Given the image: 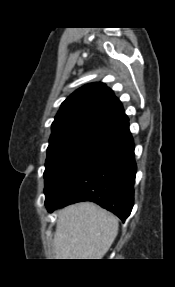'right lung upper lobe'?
I'll return each mask as SVG.
<instances>
[{
  "label": "right lung upper lobe",
  "mask_w": 175,
  "mask_h": 287,
  "mask_svg": "<svg viewBox=\"0 0 175 287\" xmlns=\"http://www.w3.org/2000/svg\"><path fill=\"white\" fill-rule=\"evenodd\" d=\"M128 120L121 102L104 83L95 82L73 92L61 105L52 132L84 124L117 127Z\"/></svg>",
  "instance_id": "cb5924a9"
}]
</instances>
